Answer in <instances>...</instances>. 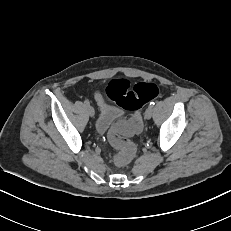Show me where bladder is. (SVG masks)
<instances>
[{
  "mask_svg": "<svg viewBox=\"0 0 231 231\" xmlns=\"http://www.w3.org/2000/svg\"><path fill=\"white\" fill-rule=\"evenodd\" d=\"M99 110L95 121V131L98 135H104L109 128L122 116V112L112 106L105 104L100 98Z\"/></svg>",
  "mask_w": 231,
  "mask_h": 231,
  "instance_id": "1",
  "label": "bladder"
}]
</instances>
